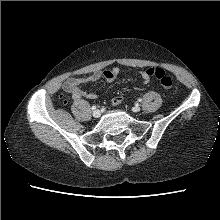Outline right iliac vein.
<instances>
[{"instance_id": "63e3f726", "label": "right iliac vein", "mask_w": 220, "mask_h": 220, "mask_svg": "<svg viewBox=\"0 0 220 220\" xmlns=\"http://www.w3.org/2000/svg\"><path fill=\"white\" fill-rule=\"evenodd\" d=\"M92 115L94 118H99L101 116V112H100V110H95V111H93Z\"/></svg>"}]
</instances>
